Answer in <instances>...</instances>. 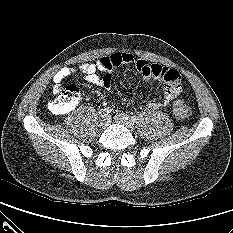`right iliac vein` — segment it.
<instances>
[{
	"label": "right iliac vein",
	"instance_id": "63e3f726",
	"mask_svg": "<svg viewBox=\"0 0 233 233\" xmlns=\"http://www.w3.org/2000/svg\"><path fill=\"white\" fill-rule=\"evenodd\" d=\"M110 123V118L108 115H101L100 119H99V123L98 126L100 129H105Z\"/></svg>",
	"mask_w": 233,
	"mask_h": 233
}]
</instances>
